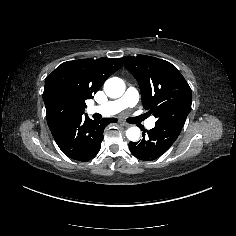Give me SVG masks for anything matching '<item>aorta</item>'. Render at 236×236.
I'll use <instances>...</instances> for the list:
<instances>
[{
	"mask_svg": "<svg viewBox=\"0 0 236 236\" xmlns=\"http://www.w3.org/2000/svg\"><path fill=\"white\" fill-rule=\"evenodd\" d=\"M104 91L109 98H119L125 91L124 82L117 77L109 78L104 84ZM140 134L141 131L136 126H132L126 130V137L133 142L139 140Z\"/></svg>",
	"mask_w": 236,
	"mask_h": 236,
	"instance_id": "obj_1",
	"label": "aorta"
}]
</instances>
